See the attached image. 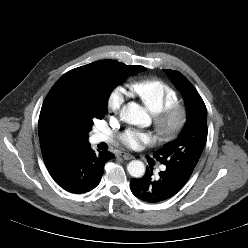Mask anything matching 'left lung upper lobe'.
<instances>
[{"mask_svg":"<svg viewBox=\"0 0 248 248\" xmlns=\"http://www.w3.org/2000/svg\"><path fill=\"white\" fill-rule=\"evenodd\" d=\"M167 74L183 94L187 107V123L180 136L166 143L155 158L172 171L185 185L196 167L207 140L206 106L188 79L178 71L166 69Z\"/></svg>","mask_w":248,"mask_h":248,"instance_id":"5c2ea615","label":"left lung upper lobe"}]
</instances>
